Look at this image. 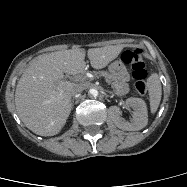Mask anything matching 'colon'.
<instances>
[{"label": "colon", "mask_w": 187, "mask_h": 187, "mask_svg": "<svg viewBox=\"0 0 187 187\" xmlns=\"http://www.w3.org/2000/svg\"><path fill=\"white\" fill-rule=\"evenodd\" d=\"M122 60L132 69L137 93L145 95L148 88L146 82L147 70L143 51L140 48L127 50L123 53Z\"/></svg>", "instance_id": "5ec220e1"}]
</instances>
